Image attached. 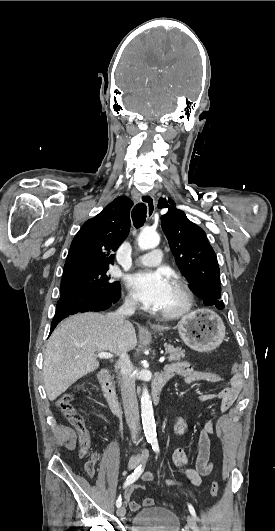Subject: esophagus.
<instances>
[{
    "mask_svg": "<svg viewBox=\"0 0 275 531\" xmlns=\"http://www.w3.org/2000/svg\"><path fill=\"white\" fill-rule=\"evenodd\" d=\"M141 200L147 206V215L152 218L155 212V197L152 194H146L141 196ZM151 327H155V324H150Z\"/></svg>",
    "mask_w": 275,
    "mask_h": 531,
    "instance_id": "34e87169",
    "label": "esophagus"
}]
</instances>
